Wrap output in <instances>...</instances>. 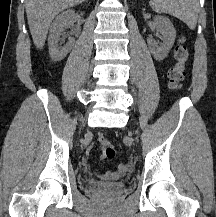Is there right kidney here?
Segmentation results:
<instances>
[{
  "instance_id": "1",
  "label": "right kidney",
  "mask_w": 216,
  "mask_h": 217,
  "mask_svg": "<svg viewBox=\"0 0 216 217\" xmlns=\"http://www.w3.org/2000/svg\"><path fill=\"white\" fill-rule=\"evenodd\" d=\"M74 19L75 12L69 9L59 14L52 23L48 37L49 53L52 60L61 61L72 49L74 38L69 37L68 42L62 47H58V42L62 32L73 24Z\"/></svg>"
}]
</instances>
